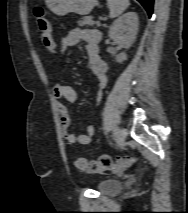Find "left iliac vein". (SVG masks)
<instances>
[{
	"mask_svg": "<svg viewBox=\"0 0 188 213\" xmlns=\"http://www.w3.org/2000/svg\"><path fill=\"white\" fill-rule=\"evenodd\" d=\"M118 137L120 141L124 142L127 137V130L125 128H120L118 130Z\"/></svg>",
	"mask_w": 188,
	"mask_h": 213,
	"instance_id": "left-iliac-vein-1",
	"label": "left iliac vein"
}]
</instances>
